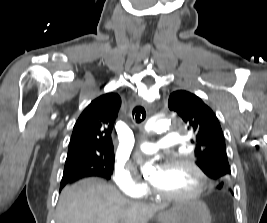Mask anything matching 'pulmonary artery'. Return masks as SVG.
Masks as SVG:
<instances>
[{
	"label": "pulmonary artery",
	"mask_w": 267,
	"mask_h": 223,
	"mask_svg": "<svg viewBox=\"0 0 267 223\" xmlns=\"http://www.w3.org/2000/svg\"><path fill=\"white\" fill-rule=\"evenodd\" d=\"M180 142V137L177 134L165 133L157 143L143 141L138 144L139 149L147 154L154 153L160 148L176 146Z\"/></svg>",
	"instance_id": "obj_1"
}]
</instances>
